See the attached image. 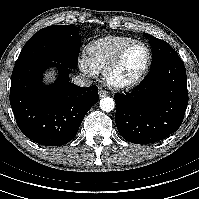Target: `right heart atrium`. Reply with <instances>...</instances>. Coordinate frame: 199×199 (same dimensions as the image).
I'll return each mask as SVG.
<instances>
[{"mask_svg": "<svg viewBox=\"0 0 199 199\" xmlns=\"http://www.w3.org/2000/svg\"><path fill=\"white\" fill-rule=\"evenodd\" d=\"M80 69L89 77H96L99 70L92 63L91 59L86 54H81L78 59Z\"/></svg>", "mask_w": 199, "mask_h": 199, "instance_id": "d8ad5b80", "label": "right heart atrium"}]
</instances>
